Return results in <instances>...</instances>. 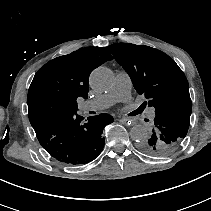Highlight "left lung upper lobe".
<instances>
[{
    "mask_svg": "<svg viewBox=\"0 0 211 211\" xmlns=\"http://www.w3.org/2000/svg\"><path fill=\"white\" fill-rule=\"evenodd\" d=\"M107 49L146 98L139 109H155L152 136L141 149L154 156L174 152L184 141L192 112L186 76L172 58L152 47L116 43Z\"/></svg>",
    "mask_w": 211,
    "mask_h": 211,
    "instance_id": "1",
    "label": "left lung upper lobe"
}]
</instances>
